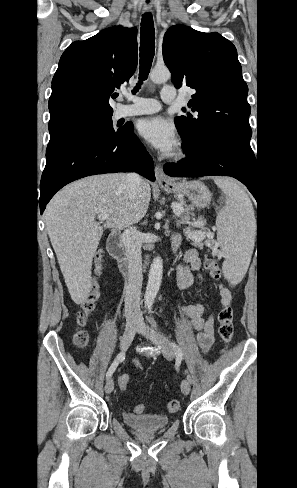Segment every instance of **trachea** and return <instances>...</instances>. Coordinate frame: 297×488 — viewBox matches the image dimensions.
<instances>
[{"label":"trachea","mask_w":297,"mask_h":488,"mask_svg":"<svg viewBox=\"0 0 297 488\" xmlns=\"http://www.w3.org/2000/svg\"><path fill=\"white\" fill-rule=\"evenodd\" d=\"M155 51V29L153 18L150 13H145L142 17L140 28V74L139 81L132 91L135 94L143 81L148 78Z\"/></svg>","instance_id":"obj_1"}]
</instances>
